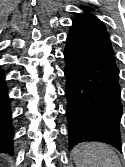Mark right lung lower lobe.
I'll list each match as a JSON object with an SVG mask.
<instances>
[{"instance_id": "98d812e1", "label": "right lung lower lobe", "mask_w": 125, "mask_h": 167, "mask_svg": "<svg viewBox=\"0 0 125 167\" xmlns=\"http://www.w3.org/2000/svg\"><path fill=\"white\" fill-rule=\"evenodd\" d=\"M4 73L0 68V152L13 153L14 128Z\"/></svg>"}]
</instances>
